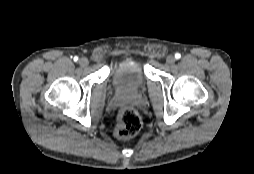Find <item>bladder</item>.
<instances>
[{
  "label": "bladder",
  "instance_id": "31cf9c89",
  "mask_svg": "<svg viewBox=\"0 0 254 174\" xmlns=\"http://www.w3.org/2000/svg\"><path fill=\"white\" fill-rule=\"evenodd\" d=\"M114 86L124 92H136L145 84L143 64L134 59L124 60L112 68Z\"/></svg>",
  "mask_w": 254,
  "mask_h": 174
}]
</instances>
